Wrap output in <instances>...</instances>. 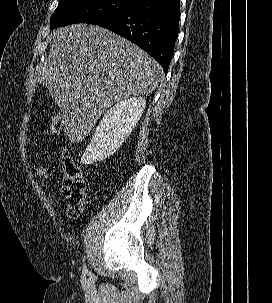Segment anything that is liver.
Returning a JSON list of instances; mask_svg holds the SVG:
<instances>
[{"mask_svg":"<svg viewBox=\"0 0 272 303\" xmlns=\"http://www.w3.org/2000/svg\"><path fill=\"white\" fill-rule=\"evenodd\" d=\"M51 38L37 80L60 107L63 131L72 143L83 141L115 102L153 92L163 77L157 61L105 28L73 24Z\"/></svg>","mask_w":272,"mask_h":303,"instance_id":"obj_1","label":"liver"}]
</instances>
